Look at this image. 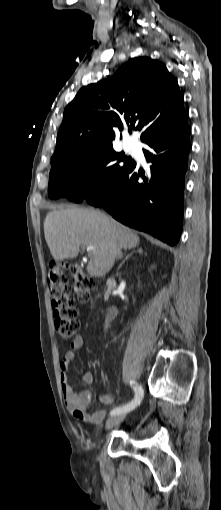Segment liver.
Here are the masks:
<instances>
[{
  "instance_id": "1",
  "label": "liver",
  "mask_w": 221,
  "mask_h": 510,
  "mask_svg": "<svg viewBox=\"0 0 221 510\" xmlns=\"http://www.w3.org/2000/svg\"><path fill=\"white\" fill-rule=\"evenodd\" d=\"M44 236L57 261L77 257L80 247H93L87 265V272L93 277L105 276L114 265L112 247L132 249L140 241L134 231L105 213L75 207L50 211L44 220Z\"/></svg>"
}]
</instances>
